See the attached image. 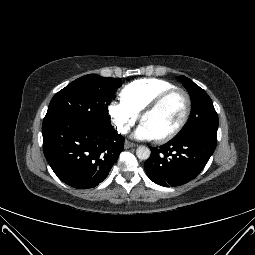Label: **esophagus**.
Here are the masks:
<instances>
[{
  "label": "esophagus",
  "instance_id": "esophagus-1",
  "mask_svg": "<svg viewBox=\"0 0 255 255\" xmlns=\"http://www.w3.org/2000/svg\"><path fill=\"white\" fill-rule=\"evenodd\" d=\"M124 145H125V148H132L136 146L135 143H132L130 141H125Z\"/></svg>",
  "mask_w": 255,
  "mask_h": 255
}]
</instances>
